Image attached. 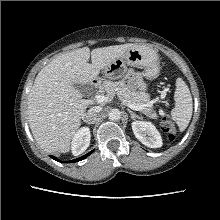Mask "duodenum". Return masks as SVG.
Masks as SVG:
<instances>
[{
  "label": "duodenum",
  "instance_id": "duodenum-1",
  "mask_svg": "<svg viewBox=\"0 0 220 220\" xmlns=\"http://www.w3.org/2000/svg\"><path fill=\"white\" fill-rule=\"evenodd\" d=\"M90 86H91V88L94 86V83L92 82L91 84H90Z\"/></svg>",
  "mask_w": 220,
  "mask_h": 220
}]
</instances>
